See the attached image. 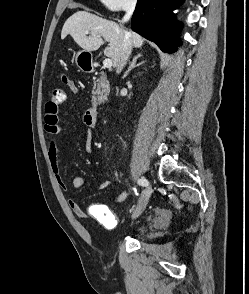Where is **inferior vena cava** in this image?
Wrapping results in <instances>:
<instances>
[{
    "label": "inferior vena cava",
    "mask_w": 249,
    "mask_h": 294,
    "mask_svg": "<svg viewBox=\"0 0 249 294\" xmlns=\"http://www.w3.org/2000/svg\"><path fill=\"white\" fill-rule=\"evenodd\" d=\"M134 9H135V2H132L126 8V14L122 19V23L127 22L131 18ZM131 51H132V42H131L128 34L125 33L123 43L121 46V50H120V53H119V56L117 59V63H116V72L117 73H120L122 71V69L124 68V66L126 65L127 60L131 54Z\"/></svg>",
    "instance_id": "obj_1"
}]
</instances>
